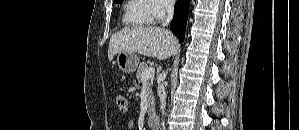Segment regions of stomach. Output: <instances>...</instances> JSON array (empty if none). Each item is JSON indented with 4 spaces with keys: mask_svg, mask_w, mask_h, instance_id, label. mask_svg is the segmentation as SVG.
<instances>
[{
    "mask_svg": "<svg viewBox=\"0 0 299 130\" xmlns=\"http://www.w3.org/2000/svg\"><path fill=\"white\" fill-rule=\"evenodd\" d=\"M140 63L139 57L134 52H119L117 64L124 73H133Z\"/></svg>",
    "mask_w": 299,
    "mask_h": 130,
    "instance_id": "obj_1",
    "label": "stomach"
}]
</instances>
